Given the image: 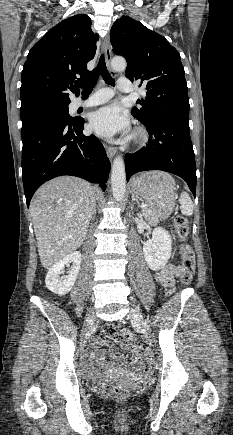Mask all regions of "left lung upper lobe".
I'll use <instances>...</instances> for the list:
<instances>
[{
  "mask_svg": "<svg viewBox=\"0 0 233 435\" xmlns=\"http://www.w3.org/2000/svg\"><path fill=\"white\" fill-rule=\"evenodd\" d=\"M110 37L113 52L127 60L125 76L146 86V97L137 100L132 115L143 124L189 121L185 71L166 38L128 16L113 24Z\"/></svg>",
  "mask_w": 233,
  "mask_h": 435,
  "instance_id": "1",
  "label": "left lung upper lobe"
}]
</instances>
